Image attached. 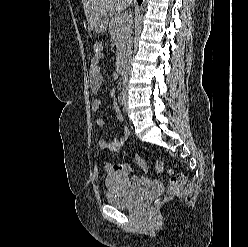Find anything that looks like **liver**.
<instances>
[{
    "label": "liver",
    "instance_id": "6515ba94",
    "mask_svg": "<svg viewBox=\"0 0 248 247\" xmlns=\"http://www.w3.org/2000/svg\"><path fill=\"white\" fill-rule=\"evenodd\" d=\"M132 0H82L88 29L93 30L98 20L108 11L120 12L130 5Z\"/></svg>",
    "mask_w": 248,
    "mask_h": 247
}]
</instances>
